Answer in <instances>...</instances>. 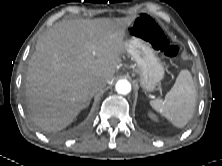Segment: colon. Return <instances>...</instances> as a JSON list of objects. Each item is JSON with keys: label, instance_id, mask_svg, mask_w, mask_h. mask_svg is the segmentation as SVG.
I'll use <instances>...</instances> for the list:
<instances>
[{"label": "colon", "instance_id": "1", "mask_svg": "<svg viewBox=\"0 0 222 166\" xmlns=\"http://www.w3.org/2000/svg\"><path fill=\"white\" fill-rule=\"evenodd\" d=\"M133 37L149 43L166 57L176 60L179 48L173 44L163 27L149 14H141L130 28Z\"/></svg>", "mask_w": 222, "mask_h": 166}]
</instances>
